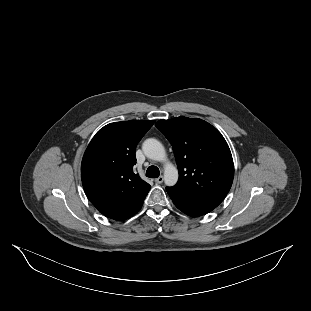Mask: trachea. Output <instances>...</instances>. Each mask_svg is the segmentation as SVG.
<instances>
[{
    "label": "trachea",
    "instance_id": "1",
    "mask_svg": "<svg viewBox=\"0 0 311 311\" xmlns=\"http://www.w3.org/2000/svg\"><path fill=\"white\" fill-rule=\"evenodd\" d=\"M160 175V171L156 166H149L146 171V176L149 178H157Z\"/></svg>",
    "mask_w": 311,
    "mask_h": 311
}]
</instances>
